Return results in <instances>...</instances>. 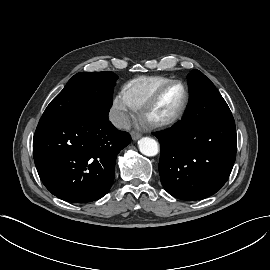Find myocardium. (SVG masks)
I'll return each mask as SVG.
<instances>
[{"mask_svg":"<svg viewBox=\"0 0 270 270\" xmlns=\"http://www.w3.org/2000/svg\"><path fill=\"white\" fill-rule=\"evenodd\" d=\"M179 85L183 90V98L181 102L173 110L159 117H153L152 111L159 103L164 92L171 86ZM190 100L189 89L187 85L177 79H171L162 84L149 100L140 109V117L142 121L151 128L159 129L170 126L182 118L188 107Z\"/></svg>","mask_w":270,"mask_h":270,"instance_id":"f54148a6","label":"myocardium"}]
</instances>
